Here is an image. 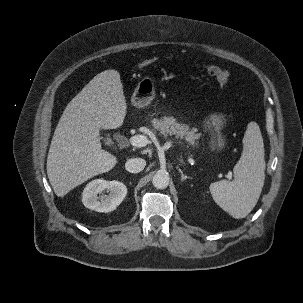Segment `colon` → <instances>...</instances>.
<instances>
[{
	"label": "colon",
	"instance_id": "colon-1",
	"mask_svg": "<svg viewBox=\"0 0 303 303\" xmlns=\"http://www.w3.org/2000/svg\"><path fill=\"white\" fill-rule=\"evenodd\" d=\"M155 62L154 59H146L140 63L141 68L149 67ZM207 74L213 77L219 85L224 88L229 84L230 77L226 70L215 65H207L204 67Z\"/></svg>",
	"mask_w": 303,
	"mask_h": 303
}]
</instances>
